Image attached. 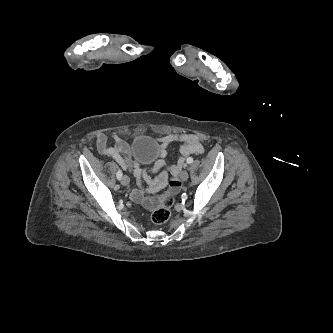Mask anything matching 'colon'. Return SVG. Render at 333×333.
<instances>
[{"instance_id":"5ec220e1","label":"colon","mask_w":333,"mask_h":333,"mask_svg":"<svg viewBox=\"0 0 333 333\" xmlns=\"http://www.w3.org/2000/svg\"><path fill=\"white\" fill-rule=\"evenodd\" d=\"M174 203L172 192H165L160 197L159 206L152 212L151 219L155 224H164L171 217V206Z\"/></svg>"}]
</instances>
